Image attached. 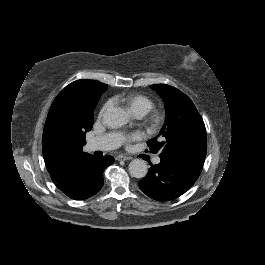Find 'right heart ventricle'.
<instances>
[{"mask_svg": "<svg viewBox=\"0 0 265 265\" xmlns=\"http://www.w3.org/2000/svg\"><path fill=\"white\" fill-rule=\"evenodd\" d=\"M116 104L125 106L136 116H144L153 108L152 100L144 94L131 90H121L113 97Z\"/></svg>", "mask_w": 265, "mask_h": 265, "instance_id": "e07e8e85", "label": "right heart ventricle"}]
</instances>
